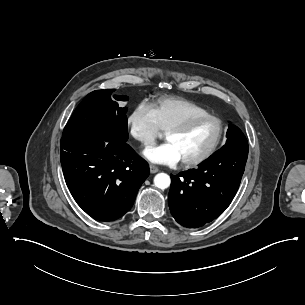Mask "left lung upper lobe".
I'll return each mask as SVG.
<instances>
[{"instance_id": "obj_1", "label": "left lung upper lobe", "mask_w": 305, "mask_h": 305, "mask_svg": "<svg viewBox=\"0 0 305 305\" xmlns=\"http://www.w3.org/2000/svg\"><path fill=\"white\" fill-rule=\"evenodd\" d=\"M226 136H227V142L222 148L248 145L247 139L244 136V134L237 126L233 124H229V128Z\"/></svg>"}]
</instances>
